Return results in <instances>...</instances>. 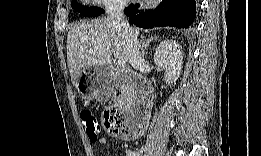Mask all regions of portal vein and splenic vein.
Instances as JSON below:
<instances>
[{
  "mask_svg": "<svg viewBox=\"0 0 261 156\" xmlns=\"http://www.w3.org/2000/svg\"><path fill=\"white\" fill-rule=\"evenodd\" d=\"M117 63L121 68H124L126 66V60L124 59H118Z\"/></svg>",
  "mask_w": 261,
  "mask_h": 156,
  "instance_id": "18ae733b",
  "label": "portal vein and splenic vein"
}]
</instances>
